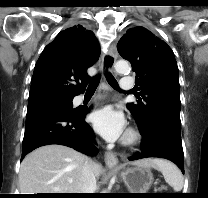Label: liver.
I'll return each instance as SVG.
<instances>
[{
  "instance_id": "6515ba94",
  "label": "liver",
  "mask_w": 208,
  "mask_h": 198,
  "mask_svg": "<svg viewBox=\"0 0 208 198\" xmlns=\"http://www.w3.org/2000/svg\"><path fill=\"white\" fill-rule=\"evenodd\" d=\"M86 159L84 154L63 145H46L34 150L21 163V194L77 193ZM132 164L158 168L157 161L153 159H143ZM93 171L99 177L102 166L94 162Z\"/></svg>"
}]
</instances>
